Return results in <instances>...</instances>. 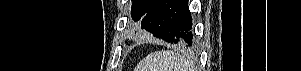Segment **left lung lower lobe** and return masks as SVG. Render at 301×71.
Returning a JSON list of instances; mask_svg holds the SVG:
<instances>
[{
  "label": "left lung lower lobe",
  "mask_w": 301,
  "mask_h": 71,
  "mask_svg": "<svg viewBox=\"0 0 301 71\" xmlns=\"http://www.w3.org/2000/svg\"><path fill=\"white\" fill-rule=\"evenodd\" d=\"M141 28L170 43L194 45L193 23L187 0H158L142 18Z\"/></svg>",
  "instance_id": "1"
}]
</instances>
